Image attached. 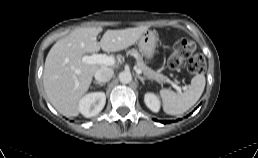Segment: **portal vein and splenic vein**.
<instances>
[{"instance_id":"obj_1","label":"portal vein and splenic vein","mask_w":258,"mask_h":158,"mask_svg":"<svg viewBox=\"0 0 258 158\" xmlns=\"http://www.w3.org/2000/svg\"><path fill=\"white\" fill-rule=\"evenodd\" d=\"M83 62L87 64H103L107 66H111L115 64V59L113 56H106L104 54H92L90 56L86 55L83 56L82 58ZM136 73L141 74L142 71L138 69L137 67L135 68ZM166 82L170 83L178 92H181L182 89H185L186 87H179L176 83L166 79Z\"/></svg>"}]
</instances>
